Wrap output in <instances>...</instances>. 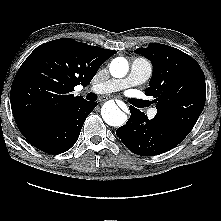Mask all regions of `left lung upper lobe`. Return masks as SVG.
Wrapping results in <instances>:
<instances>
[{
    "instance_id": "left-lung-upper-lobe-1",
    "label": "left lung upper lobe",
    "mask_w": 221,
    "mask_h": 221,
    "mask_svg": "<svg viewBox=\"0 0 221 221\" xmlns=\"http://www.w3.org/2000/svg\"><path fill=\"white\" fill-rule=\"evenodd\" d=\"M152 62L153 74L145 95L156 103L155 117L183 140L199 118L206 97L205 76L199 64L179 49L163 44L138 48Z\"/></svg>"
}]
</instances>
